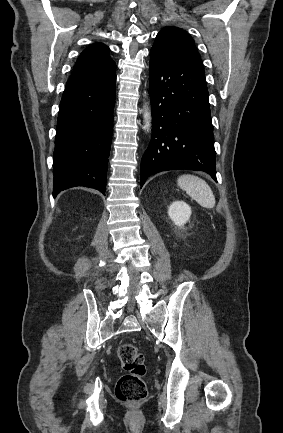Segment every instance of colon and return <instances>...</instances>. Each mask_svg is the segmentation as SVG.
<instances>
[{"label":"colon","mask_w":283,"mask_h":433,"mask_svg":"<svg viewBox=\"0 0 283 433\" xmlns=\"http://www.w3.org/2000/svg\"><path fill=\"white\" fill-rule=\"evenodd\" d=\"M118 360L125 371L119 378L115 394L118 400L136 403L147 395L144 382L146 367L143 354L131 343H123L117 349Z\"/></svg>","instance_id":"5ec220e1"}]
</instances>
